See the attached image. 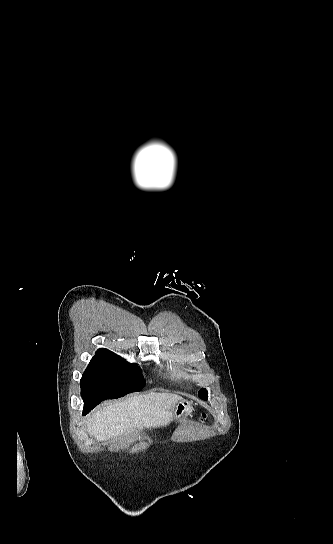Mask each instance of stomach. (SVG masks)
Wrapping results in <instances>:
<instances>
[{
    "label": "stomach",
    "instance_id": "0dacf381",
    "mask_svg": "<svg viewBox=\"0 0 333 544\" xmlns=\"http://www.w3.org/2000/svg\"><path fill=\"white\" fill-rule=\"evenodd\" d=\"M192 411L191 403L187 400H181L176 404L174 410V419L180 420L184 415Z\"/></svg>",
    "mask_w": 333,
    "mask_h": 544
}]
</instances>
